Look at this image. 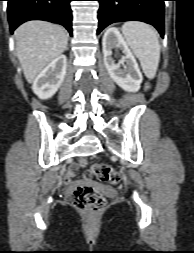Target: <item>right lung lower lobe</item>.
I'll return each mask as SVG.
<instances>
[{"mask_svg": "<svg viewBox=\"0 0 194 253\" xmlns=\"http://www.w3.org/2000/svg\"><path fill=\"white\" fill-rule=\"evenodd\" d=\"M10 30L28 20H45L63 25L72 35V0H7Z\"/></svg>", "mask_w": 194, "mask_h": 253, "instance_id": "1", "label": "right lung lower lobe"}]
</instances>
